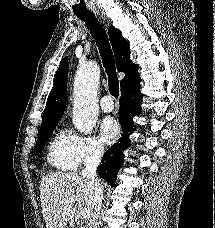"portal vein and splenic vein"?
Masks as SVG:
<instances>
[{
  "mask_svg": "<svg viewBox=\"0 0 215 228\" xmlns=\"http://www.w3.org/2000/svg\"><path fill=\"white\" fill-rule=\"evenodd\" d=\"M66 204H67V206H72V204H74L73 198H70V200H68V202H66ZM80 216H81V218H85V220H88L89 212H87V210H80Z\"/></svg>",
  "mask_w": 215,
  "mask_h": 228,
  "instance_id": "1",
  "label": "portal vein and splenic vein"
}]
</instances>
